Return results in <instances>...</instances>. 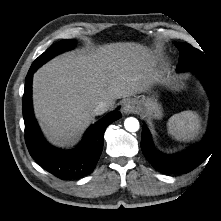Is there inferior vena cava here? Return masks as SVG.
Returning a JSON list of instances; mask_svg holds the SVG:
<instances>
[{"label": "inferior vena cava", "mask_w": 221, "mask_h": 221, "mask_svg": "<svg viewBox=\"0 0 221 221\" xmlns=\"http://www.w3.org/2000/svg\"><path fill=\"white\" fill-rule=\"evenodd\" d=\"M110 108V104L104 101L98 103V105L93 110L94 115H102L107 112Z\"/></svg>", "instance_id": "1"}]
</instances>
